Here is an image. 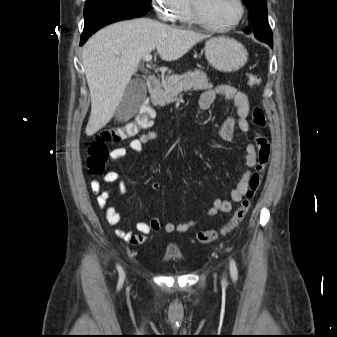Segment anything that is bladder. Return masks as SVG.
Here are the masks:
<instances>
[{
	"label": "bladder",
	"mask_w": 337,
	"mask_h": 337,
	"mask_svg": "<svg viewBox=\"0 0 337 337\" xmlns=\"http://www.w3.org/2000/svg\"><path fill=\"white\" fill-rule=\"evenodd\" d=\"M168 258H169V259H172V258H174V256H173V255H169Z\"/></svg>",
	"instance_id": "31cf9c89"
}]
</instances>
